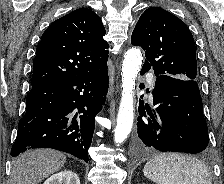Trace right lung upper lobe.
<instances>
[{"label": "right lung upper lobe", "instance_id": "obj_1", "mask_svg": "<svg viewBox=\"0 0 224 184\" xmlns=\"http://www.w3.org/2000/svg\"><path fill=\"white\" fill-rule=\"evenodd\" d=\"M100 17L79 8L43 33L33 62L32 87L94 73L107 65L108 43Z\"/></svg>", "mask_w": 224, "mask_h": 184}]
</instances>
